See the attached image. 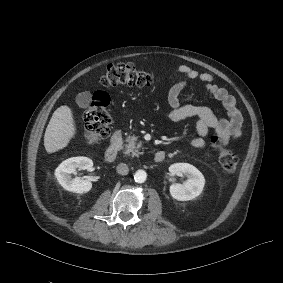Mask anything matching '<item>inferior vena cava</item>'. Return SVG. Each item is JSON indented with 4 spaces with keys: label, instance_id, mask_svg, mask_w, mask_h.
I'll return each instance as SVG.
<instances>
[{
    "label": "inferior vena cava",
    "instance_id": "1",
    "mask_svg": "<svg viewBox=\"0 0 283 283\" xmlns=\"http://www.w3.org/2000/svg\"><path fill=\"white\" fill-rule=\"evenodd\" d=\"M116 170L120 175H127L129 172V167L126 163H120L117 165Z\"/></svg>",
    "mask_w": 283,
    "mask_h": 283
}]
</instances>
